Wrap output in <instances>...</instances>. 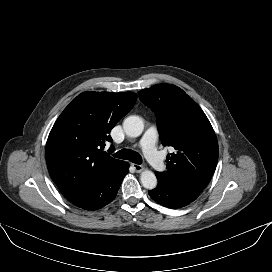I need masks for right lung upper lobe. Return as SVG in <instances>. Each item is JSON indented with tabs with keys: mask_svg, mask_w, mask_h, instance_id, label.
Here are the masks:
<instances>
[{
	"mask_svg": "<svg viewBox=\"0 0 272 272\" xmlns=\"http://www.w3.org/2000/svg\"><path fill=\"white\" fill-rule=\"evenodd\" d=\"M136 99L132 92H84L64 109L46 143L48 171L61 192L94 184L120 162L103 149Z\"/></svg>",
	"mask_w": 272,
	"mask_h": 272,
	"instance_id": "right-lung-upper-lobe-1",
	"label": "right lung upper lobe"
}]
</instances>
